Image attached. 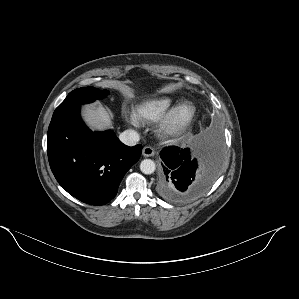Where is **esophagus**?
I'll use <instances>...</instances> for the list:
<instances>
[{"instance_id": "34e87169", "label": "esophagus", "mask_w": 299, "mask_h": 299, "mask_svg": "<svg viewBox=\"0 0 299 299\" xmlns=\"http://www.w3.org/2000/svg\"><path fill=\"white\" fill-rule=\"evenodd\" d=\"M142 154L144 157H152L155 154V150L151 146H146L143 148Z\"/></svg>"}]
</instances>
